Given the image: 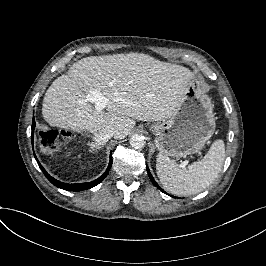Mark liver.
<instances>
[{"mask_svg":"<svg viewBox=\"0 0 266 266\" xmlns=\"http://www.w3.org/2000/svg\"><path fill=\"white\" fill-rule=\"evenodd\" d=\"M193 80L188 68L143 53L86 57L74 63L68 75L53 81L43 99L42 115L53 127L90 133L109 130L115 139H124L135 120L170 118ZM95 90L109 100L101 112L94 103L79 102Z\"/></svg>","mask_w":266,"mask_h":266,"instance_id":"1","label":"liver"}]
</instances>
